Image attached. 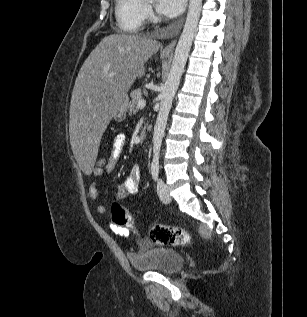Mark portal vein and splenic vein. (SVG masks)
Masks as SVG:
<instances>
[{
    "label": "portal vein and splenic vein",
    "instance_id": "1",
    "mask_svg": "<svg viewBox=\"0 0 307 317\" xmlns=\"http://www.w3.org/2000/svg\"><path fill=\"white\" fill-rule=\"evenodd\" d=\"M145 106H146V101H145V100L140 99V100L137 102V108H138V109H143Z\"/></svg>",
    "mask_w": 307,
    "mask_h": 317
}]
</instances>
